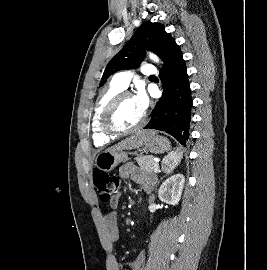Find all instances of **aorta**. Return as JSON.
I'll return each instance as SVG.
<instances>
[{
  "instance_id": "762f6f07",
  "label": "aorta",
  "mask_w": 267,
  "mask_h": 270,
  "mask_svg": "<svg viewBox=\"0 0 267 270\" xmlns=\"http://www.w3.org/2000/svg\"><path fill=\"white\" fill-rule=\"evenodd\" d=\"M150 59H152L154 62L159 63L160 59L153 53H149Z\"/></svg>"
}]
</instances>
